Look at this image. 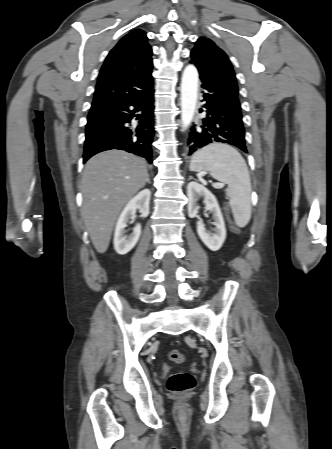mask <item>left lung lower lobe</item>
<instances>
[{
  "label": "left lung lower lobe",
  "instance_id": "obj_1",
  "mask_svg": "<svg viewBox=\"0 0 332 449\" xmlns=\"http://www.w3.org/2000/svg\"><path fill=\"white\" fill-rule=\"evenodd\" d=\"M202 82L203 109L206 115L202 124L190 128L189 155L210 143H227L247 153L245 130L242 123L240 102L237 96L217 83L200 77Z\"/></svg>",
  "mask_w": 332,
  "mask_h": 449
}]
</instances>
